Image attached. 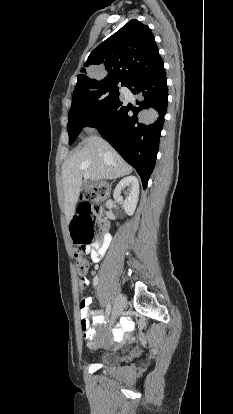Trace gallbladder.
I'll use <instances>...</instances> for the list:
<instances>
[{"mask_svg": "<svg viewBox=\"0 0 233 414\" xmlns=\"http://www.w3.org/2000/svg\"><path fill=\"white\" fill-rule=\"evenodd\" d=\"M92 185H93V183H90V182H85V183H83V188H84L85 190H87V189H89Z\"/></svg>", "mask_w": 233, "mask_h": 414, "instance_id": "1", "label": "gallbladder"}]
</instances>
